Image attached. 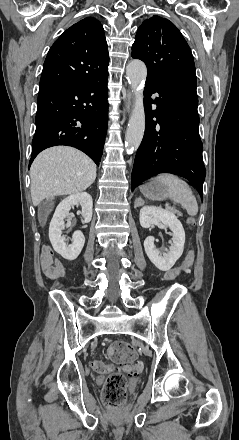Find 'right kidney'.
<instances>
[{
  "mask_svg": "<svg viewBox=\"0 0 239 440\" xmlns=\"http://www.w3.org/2000/svg\"><path fill=\"white\" fill-rule=\"evenodd\" d=\"M72 206H81L82 212H80V214L82 222L88 224V222H91L92 220L93 212V202L90 194H87V192H80V194H71L68 198H64L59 206H57L55 214L50 222L49 238L51 242H53L55 252L61 253V256L66 261L71 260V258L72 260H76L85 244V238L80 230L74 232L72 236V244H64L65 236H62V230L65 228L64 220L65 218H70L71 214H69V212Z\"/></svg>",
  "mask_w": 239,
  "mask_h": 440,
  "instance_id": "ca27d5eb",
  "label": "right kidney"
}]
</instances>
